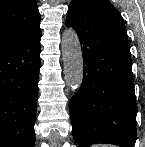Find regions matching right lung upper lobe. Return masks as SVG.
I'll list each match as a JSON object with an SVG mask.
<instances>
[{
  "mask_svg": "<svg viewBox=\"0 0 145 147\" xmlns=\"http://www.w3.org/2000/svg\"><path fill=\"white\" fill-rule=\"evenodd\" d=\"M35 0H0V47L40 30Z\"/></svg>",
  "mask_w": 145,
  "mask_h": 147,
  "instance_id": "1",
  "label": "right lung upper lobe"
}]
</instances>
